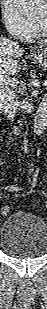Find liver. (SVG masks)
Segmentation results:
<instances>
[{"label":"liver","instance_id":"1","mask_svg":"<svg viewBox=\"0 0 47 309\" xmlns=\"http://www.w3.org/2000/svg\"><path fill=\"white\" fill-rule=\"evenodd\" d=\"M25 49L18 43L0 37V80L9 75H17L21 69L18 58L23 55ZM1 83H3L1 81Z\"/></svg>","mask_w":47,"mask_h":309}]
</instances>
